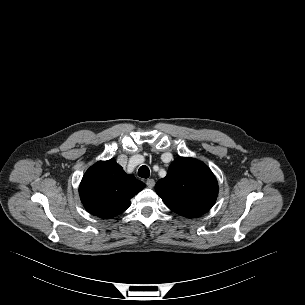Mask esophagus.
<instances>
[{
    "instance_id": "1",
    "label": "esophagus",
    "mask_w": 305,
    "mask_h": 305,
    "mask_svg": "<svg viewBox=\"0 0 305 305\" xmlns=\"http://www.w3.org/2000/svg\"><path fill=\"white\" fill-rule=\"evenodd\" d=\"M146 185L148 188H153L155 185V180L154 179H147Z\"/></svg>"
}]
</instances>
